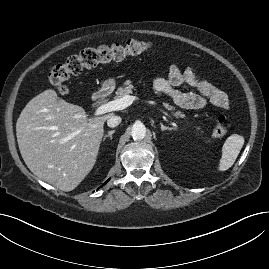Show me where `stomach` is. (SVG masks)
<instances>
[{
	"label": "stomach",
	"mask_w": 269,
	"mask_h": 269,
	"mask_svg": "<svg viewBox=\"0 0 269 269\" xmlns=\"http://www.w3.org/2000/svg\"><path fill=\"white\" fill-rule=\"evenodd\" d=\"M114 86H115V80L109 79L103 83L102 88L105 90H109L112 89Z\"/></svg>",
	"instance_id": "0dacf381"
}]
</instances>
